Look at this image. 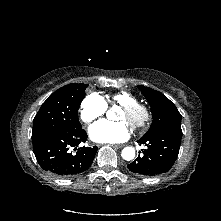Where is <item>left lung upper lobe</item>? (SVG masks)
<instances>
[{"label": "left lung upper lobe", "mask_w": 221, "mask_h": 221, "mask_svg": "<svg viewBox=\"0 0 221 221\" xmlns=\"http://www.w3.org/2000/svg\"><path fill=\"white\" fill-rule=\"evenodd\" d=\"M138 88L149 102L153 117L151 127L144 136L164 128L181 129V114L172 101L149 87Z\"/></svg>", "instance_id": "left-lung-upper-lobe-1"}]
</instances>
